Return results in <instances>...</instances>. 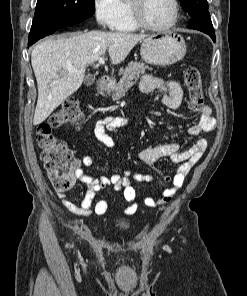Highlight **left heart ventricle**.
<instances>
[{
	"mask_svg": "<svg viewBox=\"0 0 247 296\" xmlns=\"http://www.w3.org/2000/svg\"><path fill=\"white\" fill-rule=\"evenodd\" d=\"M141 12L147 23L161 26L170 21L173 7L170 0H143Z\"/></svg>",
	"mask_w": 247,
	"mask_h": 296,
	"instance_id": "left-heart-ventricle-1",
	"label": "left heart ventricle"
}]
</instances>
